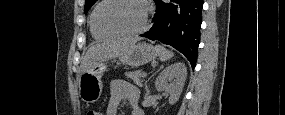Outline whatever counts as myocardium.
Instances as JSON below:
<instances>
[{"mask_svg": "<svg viewBox=\"0 0 285 115\" xmlns=\"http://www.w3.org/2000/svg\"><path fill=\"white\" fill-rule=\"evenodd\" d=\"M113 1H122V0H103L95 7V9L92 12L93 24L95 25V27L99 31L106 33V34L113 35V36L133 37V36H138V35L144 33L148 29L149 18H150V14H151V7H150L149 2L146 0H131V1L139 2L144 7V22H143L142 27L139 28L138 30L132 31V32H124V31H119V30L104 26L99 21V12L105 4H107L109 2H113Z\"/></svg>", "mask_w": 285, "mask_h": 115, "instance_id": "myocardium-1", "label": "myocardium"}]
</instances>
